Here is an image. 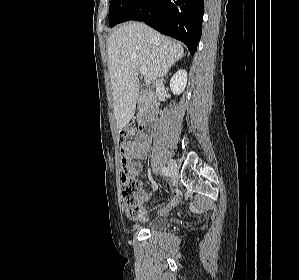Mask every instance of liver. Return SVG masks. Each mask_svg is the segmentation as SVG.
Masks as SVG:
<instances>
[{"mask_svg": "<svg viewBox=\"0 0 299 280\" xmlns=\"http://www.w3.org/2000/svg\"><path fill=\"white\" fill-rule=\"evenodd\" d=\"M113 111L117 128L133 118L139 93L138 69L146 67V84L165 76L184 55L182 45L144 23L128 22L118 27L107 42Z\"/></svg>", "mask_w": 299, "mask_h": 280, "instance_id": "6515ba94", "label": "liver"}]
</instances>
